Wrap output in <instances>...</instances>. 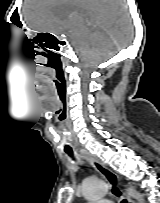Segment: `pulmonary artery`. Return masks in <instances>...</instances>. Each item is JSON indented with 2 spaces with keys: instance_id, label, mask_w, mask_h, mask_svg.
I'll return each instance as SVG.
<instances>
[{
  "instance_id": "obj_1",
  "label": "pulmonary artery",
  "mask_w": 160,
  "mask_h": 203,
  "mask_svg": "<svg viewBox=\"0 0 160 203\" xmlns=\"http://www.w3.org/2000/svg\"><path fill=\"white\" fill-rule=\"evenodd\" d=\"M95 203H112L111 201H96Z\"/></svg>"
}]
</instances>
